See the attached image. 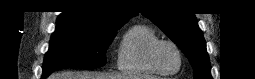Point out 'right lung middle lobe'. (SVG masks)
I'll use <instances>...</instances> for the list:
<instances>
[{
	"label": "right lung middle lobe",
	"mask_w": 255,
	"mask_h": 79,
	"mask_svg": "<svg viewBox=\"0 0 255 79\" xmlns=\"http://www.w3.org/2000/svg\"><path fill=\"white\" fill-rule=\"evenodd\" d=\"M114 35L115 31L56 27L45 55L42 78L66 67L104 66L105 51Z\"/></svg>",
	"instance_id": "dd1d6c3e"
}]
</instances>
